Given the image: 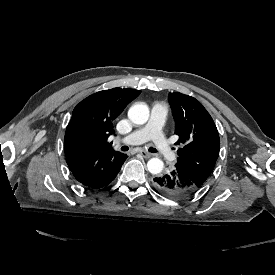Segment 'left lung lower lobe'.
Masks as SVG:
<instances>
[{"label":"left lung lower lobe","instance_id":"obj_1","mask_svg":"<svg viewBox=\"0 0 275 275\" xmlns=\"http://www.w3.org/2000/svg\"><path fill=\"white\" fill-rule=\"evenodd\" d=\"M153 185L162 195L175 199L190 196L199 188L177 166L170 172L155 177Z\"/></svg>","mask_w":275,"mask_h":275}]
</instances>
